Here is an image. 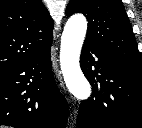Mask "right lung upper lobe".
Masks as SVG:
<instances>
[{
  "mask_svg": "<svg viewBox=\"0 0 142 128\" xmlns=\"http://www.w3.org/2000/svg\"><path fill=\"white\" fill-rule=\"evenodd\" d=\"M52 25L41 0H0V75L44 52Z\"/></svg>",
  "mask_w": 142,
  "mask_h": 128,
  "instance_id": "1",
  "label": "right lung upper lobe"
}]
</instances>
